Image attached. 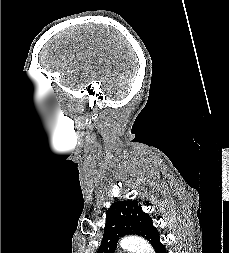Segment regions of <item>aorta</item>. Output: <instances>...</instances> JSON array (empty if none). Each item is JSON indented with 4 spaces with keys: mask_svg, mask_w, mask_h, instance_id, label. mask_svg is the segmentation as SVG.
<instances>
[{
    "mask_svg": "<svg viewBox=\"0 0 229 253\" xmlns=\"http://www.w3.org/2000/svg\"><path fill=\"white\" fill-rule=\"evenodd\" d=\"M121 247L135 253H155L152 246L141 237H127L121 243Z\"/></svg>",
    "mask_w": 229,
    "mask_h": 253,
    "instance_id": "aorta-1",
    "label": "aorta"
}]
</instances>
